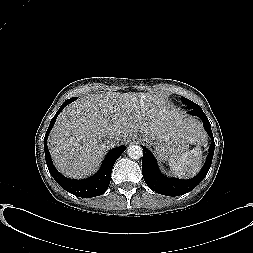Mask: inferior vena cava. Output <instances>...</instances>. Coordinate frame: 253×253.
Wrapping results in <instances>:
<instances>
[{
	"instance_id": "1",
	"label": "inferior vena cava",
	"mask_w": 253,
	"mask_h": 253,
	"mask_svg": "<svg viewBox=\"0 0 253 253\" xmlns=\"http://www.w3.org/2000/svg\"><path fill=\"white\" fill-rule=\"evenodd\" d=\"M111 142L114 145H119L123 141V136L120 133H115L111 137Z\"/></svg>"
}]
</instances>
